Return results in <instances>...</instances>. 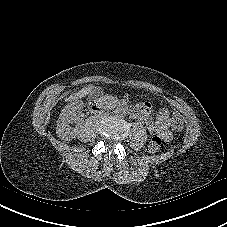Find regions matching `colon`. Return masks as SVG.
Returning a JSON list of instances; mask_svg holds the SVG:
<instances>
[{"label": "colon", "mask_w": 227, "mask_h": 227, "mask_svg": "<svg viewBox=\"0 0 227 227\" xmlns=\"http://www.w3.org/2000/svg\"><path fill=\"white\" fill-rule=\"evenodd\" d=\"M171 126L174 130L179 131L183 128V118L179 113H174L171 117ZM163 145L162 137L156 135L147 144V152L155 154L160 151Z\"/></svg>", "instance_id": "obj_1"}]
</instances>
